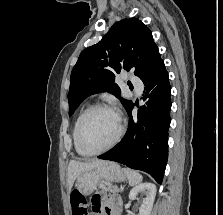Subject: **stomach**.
<instances>
[{
  "label": "stomach",
  "instance_id": "obj_1",
  "mask_svg": "<svg viewBox=\"0 0 223 215\" xmlns=\"http://www.w3.org/2000/svg\"><path fill=\"white\" fill-rule=\"evenodd\" d=\"M109 179L110 181H126V175L118 163L115 161H103L98 167L83 171L76 179L75 189L81 195H89L94 189L97 180Z\"/></svg>",
  "mask_w": 223,
  "mask_h": 215
}]
</instances>
